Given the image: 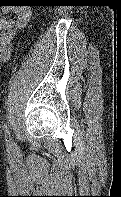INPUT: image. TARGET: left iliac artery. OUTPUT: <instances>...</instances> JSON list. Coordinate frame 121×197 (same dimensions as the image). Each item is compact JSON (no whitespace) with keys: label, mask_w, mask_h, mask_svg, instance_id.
Masks as SVG:
<instances>
[{"label":"left iliac artery","mask_w":121,"mask_h":197,"mask_svg":"<svg viewBox=\"0 0 121 197\" xmlns=\"http://www.w3.org/2000/svg\"><path fill=\"white\" fill-rule=\"evenodd\" d=\"M4 134H5V140L7 141V143L9 145L13 146L14 142L12 141V138L10 136V131H9V128H8L7 124L4 125Z\"/></svg>","instance_id":"obj_1"}]
</instances>
